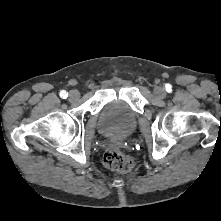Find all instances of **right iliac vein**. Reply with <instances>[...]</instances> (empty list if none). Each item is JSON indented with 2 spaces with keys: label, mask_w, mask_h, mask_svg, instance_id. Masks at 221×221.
Returning a JSON list of instances; mask_svg holds the SVG:
<instances>
[{
  "label": "right iliac vein",
  "mask_w": 221,
  "mask_h": 221,
  "mask_svg": "<svg viewBox=\"0 0 221 221\" xmlns=\"http://www.w3.org/2000/svg\"><path fill=\"white\" fill-rule=\"evenodd\" d=\"M80 96V93L77 90H71L69 92V100L76 101Z\"/></svg>",
  "instance_id": "obj_1"
}]
</instances>
